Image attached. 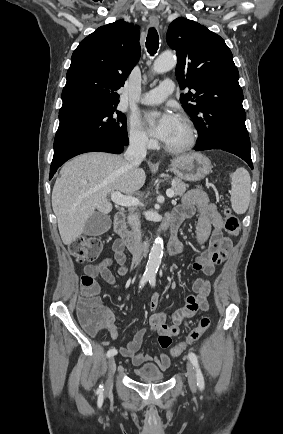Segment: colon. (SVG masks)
Masks as SVG:
<instances>
[{"mask_svg": "<svg viewBox=\"0 0 283 434\" xmlns=\"http://www.w3.org/2000/svg\"><path fill=\"white\" fill-rule=\"evenodd\" d=\"M224 229L231 235L236 236L240 232V221L230 210L224 212ZM103 241L97 236H82L76 239L71 252L80 263L93 262L102 250ZM100 287L94 277L83 275L81 277V297L78 303V318L83 327L90 333H97L103 325V311L99 298ZM210 320L203 316L198 325L190 331L185 341L171 348V355L177 357L181 355L188 345L200 339L208 329Z\"/></svg>", "mask_w": 283, "mask_h": 434, "instance_id": "colon-1", "label": "colon"}]
</instances>
